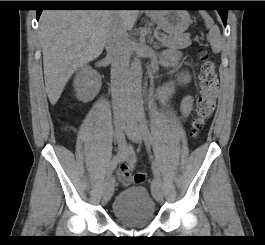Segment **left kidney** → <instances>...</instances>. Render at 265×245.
Instances as JSON below:
<instances>
[{
  "mask_svg": "<svg viewBox=\"0 0 265 245\" xmlns=\"http://www.w3.org/2000/svg\"><path fill=\"white\" fill-rule=\"evenodd\" d=\"M179 80L183 81V82H188L189 78L188 76L186 75H182L181 77H178Z\"/></svg>",
  "mask_w": 265,
  "mask_h": 245,
  "instance_id": "5707ae66",
  "label": "left kidney"
}]
</instances>
